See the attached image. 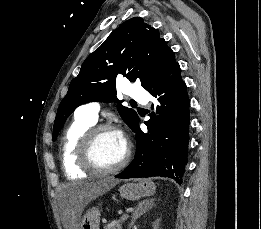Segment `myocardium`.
I'll list each match as a JSON object with an SVG mask.
<instances>
[{"instance_id": "obj_1", "label": "myocardium", "mask_w": 261, "mask_h": 229, "mask_svg": "<svg viewBox=\"0 0 261 229\" xmlns=\"http://www.w3.org/2000/svg\"><path fill=\"white\" fill-rule=\"evenodd\" d=\"M104 132H116L122 135L121 131L110 124H101L89 129L81 139L79 145V160L82 166L95 174L108 175L123 169L130 159V148L126 144V151L123 159L113 167L101 166L94 157V147L98 137Z\"/></svg>"}]
</instances>
